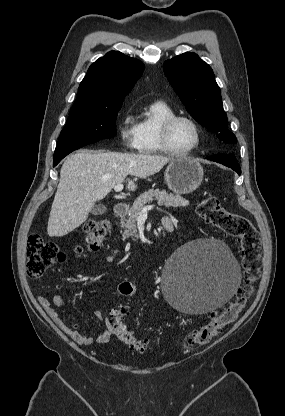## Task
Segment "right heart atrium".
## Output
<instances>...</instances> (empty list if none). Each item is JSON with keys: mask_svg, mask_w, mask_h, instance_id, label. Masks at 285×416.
I'll use <instances>...</instances> for the list:
<instances>
[{"mask_svg": "<svg viewBox=\"0 0 285 416\" xmlns=\"http://www.w3.org/2000/svg\"><path fill=\"white\" fill-rule=\"evenodd\" d=\"M120 139L123 146L130 151L140 148V137L137 129V120L132 111H124L120 124Z\"/></svg>", "mask_w": 285, "mask_h": 416, "instance_id": "d8ad5b80", "label": "right heart atrium"}]
</instances>
